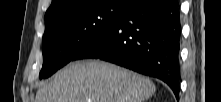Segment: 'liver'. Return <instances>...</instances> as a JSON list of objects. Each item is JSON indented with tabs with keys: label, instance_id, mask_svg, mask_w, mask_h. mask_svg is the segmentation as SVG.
<instances>
[{
	"label": "liver",
	"instance_id": "obj_1",
	"mask_svg": "<svg viewBox=\"0 0 221 102\" xmlns=\"http://www.w3.org/2000/svg\"><path fill=\"white\" fill-rule=\"evenodd\" d=\"M150 79L99 60L71 63L41 84L36 102H144L155 93Z\"/></svg>",
	"mask_w": 221,
	"mask_h": 102
}]
</instances>
